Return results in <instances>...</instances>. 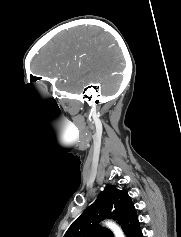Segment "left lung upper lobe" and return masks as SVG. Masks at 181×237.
Instances as JSON below:
<instances>
[{"mask_svg":"<svg viewBox=\"0 0 181 237\" xmlns=\"http://www.w3.org/2000/svg\"><path fill=\"white\" fill-rule=\"evenodd\" d=\"M103 218L116 220L127 237H135L141 232L136 209L127 190L108 185L71 224L64 237H113L109 229L98 224Z\"/></svg>","mask_w":181,"mask_h":237,"instance_id":"obj_1","label":"left lung upper lobe"}]
</instances>
